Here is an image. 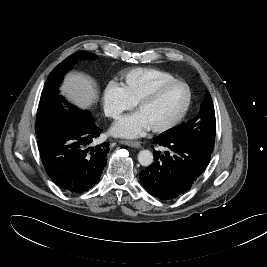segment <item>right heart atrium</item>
I'll list each match as a JSON object with an SVG mask.
<instances>
[{
	"instance_id": "right-heart-atrium-1",
	"label": "right heart atrium",
	"mask_w": 267,
	"mask_h": 267,
	"mask_svg": "<svg viewBox=\"0 0 267 267\" xmlns=\"http://www.w3.org/2000/svg\"><path fill=\"white\" fill-rule=\"evenodd\" d=\"M103 110L110 118H118L123 112L131 110L135 103L129 98L122 84L111 82L103 92Z\"/></svg>"
}]
</instances>
